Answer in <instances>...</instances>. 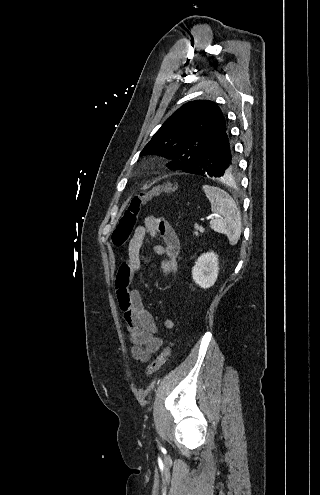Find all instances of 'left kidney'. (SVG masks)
I'll list each match as a JSON object with an SVG mask.
<instances>
[{"label":"left kidney","mask_w":320,"mask_h":495,"mask_svg":"<svg viewBox=\"0 0 320 495\" xmlns=\"http://www.w3.org/2000/svg\"><path fill=\"white\" fill-rule=\"evenodd\" d=\"M218 272V255L214 252H207L195 262L192 269V279L202 288H210L216 282Z\"/></svg>","instance_id":"obj_1"}]
</instances>
